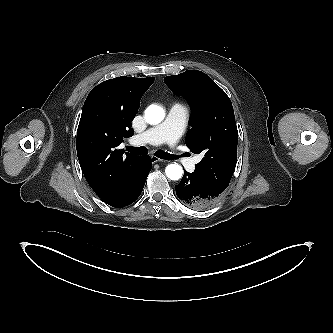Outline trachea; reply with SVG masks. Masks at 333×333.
Instances as JSON below:
<instances>
[{"mask_svg": "<svg viewBox=\"0 0 333 333\" xmlns=\"http://www.w3.org/2000/svg\"><path fill=\"white\" fill-rule=\"evenodd\" d=\"M126 150L128 152H131L132 154H135V155H145V154L148 153V149L145 148V147L127 146ZM155 156H157L158 158H161V159H165V160L176 159L177 158L176 155H172V154H169V153L163 152V151H156Z\"/></svg>", "mask_w": 333, "mask_h": 333, "instance_id": "3493384b", "label": "trachea"}]
</instances>
